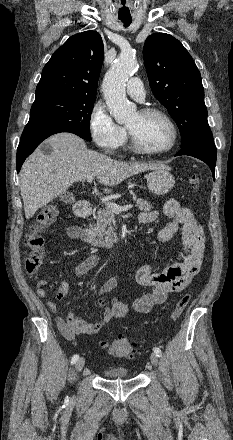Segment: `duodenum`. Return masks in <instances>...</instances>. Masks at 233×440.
<instances>
[{
	"instance_id": "410a0bca",
	"label": "duodenum",
	"mask_w": 233,
	"mask_h": 440,
	"mask_svg": "<svg viewBox=\"0 0 233 440\" xmlns=\"http://www.w3.org/2000/svg\"><path fill=\"white\" fill-rule=\"evenodd\" d=\"M74 213L77 217L87 218L93 215L94 208L89 202L85 200H81L75 204ZM77 230H78L79 238L83 242L94 246L114 247L121 243V241L119 240L100 239L93 234V232L90 230L88 226L83 224L79 225Z\"/></svg>"
}]
</instances>
